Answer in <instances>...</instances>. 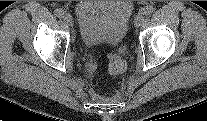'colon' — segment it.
I'll return each mask as SVG.
<instances>
[{
	"label": "colon",
	"mask_w": 207,
	"mask_h": 121,
	"mask_svg": "<svg viewBox=\"0 0 207 121\" xmlns=\"http://www.w3.org/2000/svg\"><path fill=\"white\" fill-rule=\"evenodd\" d=\"M125 69L126 63L120 54L112 53L108 56V70L111 74H121Z\"/></svg>",
	"instance_id": "obj_1"
}]
</instances>
